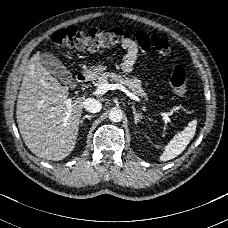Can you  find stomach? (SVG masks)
<instances>
[{"mask_svg":"<svg viewBox=\"0 0 228 228\" xmlns=\"http://www.w3.org/2000/svg\"><path fill=\"white\" fill-rule=\"evenodd\" d=\"M105 65L92 66L89 69L85 70L83 73L90 79H96L106 70Z\"/></svg>","mask_w":228,"mask_h":228,"instance_id":"0dacf381","label":"stomach"}]
</instances>
